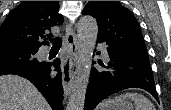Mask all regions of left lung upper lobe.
Listing matches in <instances>:
<instances>
[{
    "instance_id": "5c2ea615",
    "label": "left lung upper lobe",
    "mask_w": 171,
    "mask_h": 110,
    "mask_svg": "<svg viewBox=\"0 0 171 110\" xmlns=\"http://www.w3.org/2000/svg\"><path fill=\"white\" fill-rule=\"evenodd\" d=\"M82 14L97 19L98 40L117 51L149 60L138 21L118 1H89Z\"/></svg>"
}]
</instances>
